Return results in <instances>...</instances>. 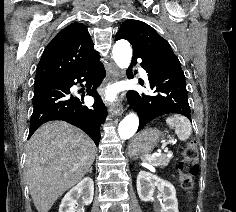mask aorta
I'll return each mask as SVG.
<instances>
[{
  "label": "aorta",
  "mask_w": 236,
  "mask_h": 212,
  "mask_svg": "<svg viewBox=\"0 0 236 212\" xmlns=\"http://www.w3.org/2000/svg\"><path fill=\"white\" fill-rule=\"evenodd\" d=\"M113 59L117 66L121 69L128 68L131 57L132 48L126 40L117 41L112 50ZM139 126V118L135 113H130L120 122L118 133L121 139H129L137 131Z\"/></svg>",
  "instance_id": "1"
}]
</instances>
